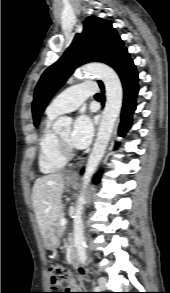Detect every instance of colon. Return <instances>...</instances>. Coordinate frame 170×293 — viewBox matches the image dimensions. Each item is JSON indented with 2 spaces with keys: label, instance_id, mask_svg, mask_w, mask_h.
I'll return each instance as SVG.
<instances>
[{
  "label": "colon",
  "instance_id": "5ec220e1",
  "mask_svg": "<svg viewBox=\"0 0 170 293\" xmlns=\"http://www.w3.org/2000/svg\"><path fill=\"white\" fill-rule=\"evenodd\" d=\"M49 276L50 282L54 292L51 293H62L59 292L69 285L68 271L66 267L57 261H51L49 265Z\"/></svg>",
  "mask_w": 170,
  "mask_h": 293
}]
</instances>
